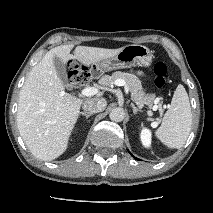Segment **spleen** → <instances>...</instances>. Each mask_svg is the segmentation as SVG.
Here are the masks:
<instances>
[{"label": "spleen", "mask_w": 213, "mask_h": 213, "mask_svg": "<svg viewBox=\"0 0 213 213\" xmlns=\"http://www.w3.org/2000/svg\"><path fill=\"white\" fill-rule=\"evenodd\" d=\"M191 125L192 112L189 97L184 86L179 84L155 135L168 148L179 149L185 144Z\"/></svg>", "instance_id": "3e777b00"}]
</instances>
